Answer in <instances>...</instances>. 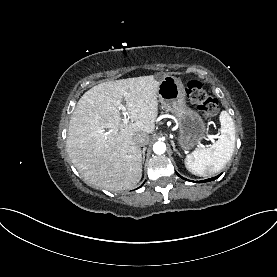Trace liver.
I'll list each match as a JSON object with an SVG mask.
<instances>
[{
    "instance_id": "liver-1",
    "label": "liver",
    "mask_w": 277,
    "mask_h": 277,
    "mask_svg": "<svg viewBox=\"0 0 277 277\" xmlns=\"http://www.w3.org/2000/svg\"><path fill=\"white\" fill-rule=\"evenodd\" d=\"M159 83L153 75L109 81L79 99L69 122L66 149L90 185L121 191L139 183L142 151L134 137L155 129ZM122 100L131 119L126 125L116 105Z\"/></svg>"
}]
</instances>
